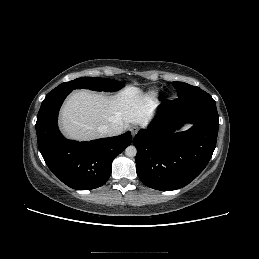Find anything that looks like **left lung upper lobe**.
I'll return each instance as SVG.
<instances>
[{
	"instance_id": "5c2ea615",
	"label": "left lung upper lobe",
	"mask_w": 259,
	"mask_h": 259,
	"mask_svg": "<svg viewBox=\"0 0 259 259\" xmlns=\"http://www.w3.org/2000/svg\"><path fill=\"white\" fill-rule=\"evenodd\" d=\"M172 85L177 90L178 99L180 100L212 99L208 93L199 87L192 86L184 82H172Z\"/></svg>"
}]
</instances>
